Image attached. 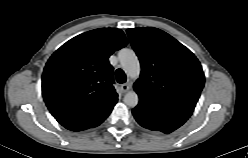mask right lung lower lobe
Listing matches in <instances>:
<instances>
[{
  "mask_svg": "<svg viewBox=\"0 0 248 158\" xmlns=\"http://www.w3.org/2000/svg\"><path fill=\"white\" fill-rule=\"evenodd\" d=\"M103 122V121H102ZM102 122H100V123H98L97 125H95V126H93V127H96V126H98L99 124H101ZM93 127H91V128H93Z\"/></svg>",
  "mask_w": 248,
  "mask_h": 158,
  "instance_id": "98d812e1",
  "label": "right lung lower lobe"
}]
</instances>
